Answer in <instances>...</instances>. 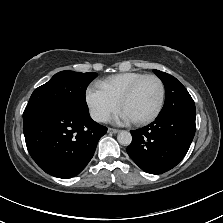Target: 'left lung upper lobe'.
Returning <instances> with one entry per match:
<instances>
[{"label":"left lung upper lobe","instance_id":"1","mask_svg":"<svg viewBox=\"0 0 223 223\" xmlns=\"http://www.w3.org/2000/svg\"><path fill=\"white\" fill-rule=\"evenodd\" d=\"M165 86V103L158 117L175 113L196 114L195 104L186 88L172 75L154 70Z\"/></svg>","mask_w":223,"mask_h":223}]
</instances>
